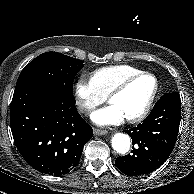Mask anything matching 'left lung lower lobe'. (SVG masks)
I'll list each match as a JSON object with an SVG mask.
<instances>
[{
	"instance_id": "obj_1",
	"label": "left lung lower lobe",
	"mask_w": 194,
	"mask_h": 194,
	"mask_svg": "<svg viewBox=\"0 0 194 194\" xmlns=\"http://www.w3.org/2000/svg\"><path fill=\"white\" fill-rule=\"evenodd\" d=\"M180 119L179 93L163 95L142 123L126 130L135 147L131 154L116 159L117 168L128 176L148 174L159 168L175 146Z\"/></svg>"
}]
</instances>
